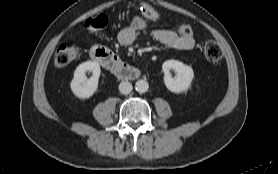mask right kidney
Listing matches in <instances>:
<instances>
[{
  "instance_id": "obj_1",
  "label": "right kidney",
  "mask_w": 278,
  "mask_h": 174,
  "mask_svg": "<svg viewBox=\"0 0 278 174\" xmlns=\"http://www.w3.org/2000/svg\"><path fill=\"white\" fill-rule=\"evenodd\" d=\"M86 71L93 73L91 78L87 79ZM100 72V66L97 62L87 61L81 63L76 68L70 83V88L74 95L81 99L90 98L98 88Z\"/></svg>"
}]
</instances>
